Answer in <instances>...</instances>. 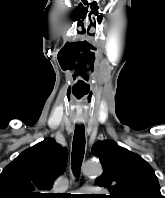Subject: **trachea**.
<instances>
[{
	"label": "trachea",
	"mask_w": 165,
	"mask_h": 198,
	"mask_svg": "<svg viewBox=\"0 0 165 198\" xmlns=\"http://www.w3.org/2000/svg\"><path fill=\"white\" fill-rule=\"evenodd\" d=\"M85 151L84 126H76L72 143V170L75 175L79 174Z\"/></svg>",
	"instance_id": "trachea-1"
}]
</instances>
